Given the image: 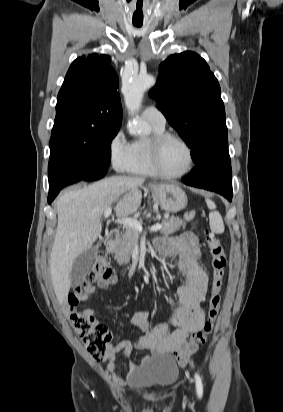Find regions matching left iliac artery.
Returning a JSON list of instances; mask_svg holds the SVG:
<instances>
[{"label":"left iliac artery","instance_id":"left-iliac-artery-1","mask_svg":"<svg viewBox=\"0 0 283 412\" xmlns=\"http://www.w3.org/2000/svg\"><path fill=\"white\" fill-rule=\"evenodd\" d=\"M195 379H196V390H197V394L199 396V398L202 397L203 395V385H202V381L201 378L198 374H195Z\"/></svg>","mask_w":283,"mask_h":412}]
</instances>
